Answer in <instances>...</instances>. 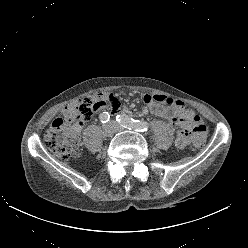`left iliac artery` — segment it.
I'll return each mask as SVG.
<instances>
[{
    "label": "left iliac artery",
    "instance_id": "1",
    "mask_svg": "<svg viewBox=\"0 0 248 248\" xmlns=\"http://www.w3.org/2000/svg\"><path fill=\"white\" fill-rule=\"evenodd\" d=\"M116 121L123 127L129 130L135 131H147L149 128V124L146 121L134 120L132 117H129L125 114L117 115Z\"/></svg>",
    "mask_w": 248,
    "mask_h": 248
}]
</instances>
